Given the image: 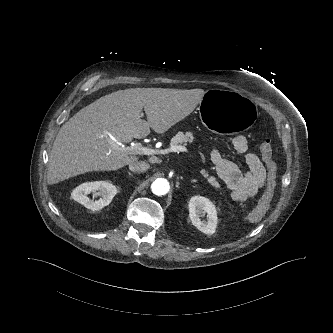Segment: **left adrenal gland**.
Listing matches in <instances>:
<instances>
[{"instance_id": "a2214340", "label": "left adrenal gland", "mask_w": 333, "mask_h": 333, "mask_svg": "<svg viewBox=\"0 0 333 333\" xmlns=\"http://www.w3.org/2000/svg\"><path fill=\"white\" fill-rule=\"evenodd\" d=\"M191 182L195 183V182H197V180L196 179H192Z\"/></svg>"}]
</instances>
